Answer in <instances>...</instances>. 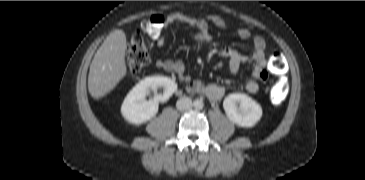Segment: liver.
<instances>
[{"mask_svg": "<svg viewBox=\"0 0 365 180\" xmlns=\"http://www.w3.org/2000/svg\"><path fill=\"white\" fill-rule=\"evenodd\" d=\"M127 43L123 30L111 32L94 55L88 76V90L95 99L111 92L126 76Z\"/></svg>", "mask_w": 365, "mask_h": 180, "instance_id": "liver-1", "label": "liver"}]
</instances>
